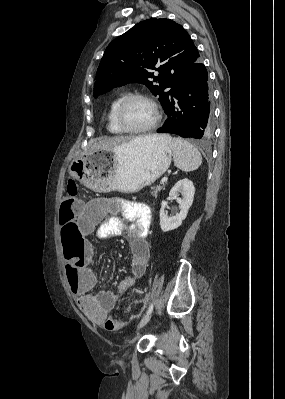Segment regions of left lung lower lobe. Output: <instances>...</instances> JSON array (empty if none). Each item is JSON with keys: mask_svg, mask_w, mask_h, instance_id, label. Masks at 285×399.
Instances as JSON below:
<instances>
[{"mask_svg": "<svg viewBox=\"0 0 285 399\" xmlns=\"http://www.w3.org/2000/svg\"><path fill=\"white\" fill-rule=\"evenodd\" d=\"M164 110L167 120L158 133L201 140L212 136V95L207 69L199 57L175 78Z\"/></svg>", "mask_w": 285, "mask_h": 399, "instance_id": "0a47b994", "label": "left lung lower lobe"}]
</instances>
